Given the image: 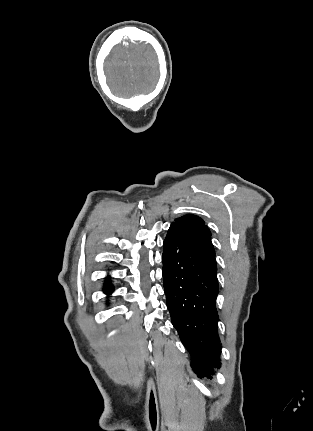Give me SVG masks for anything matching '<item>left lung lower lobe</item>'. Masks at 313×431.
Masks as SVG:
<instances>
[{
    "instance_id": "0a47b994",
    "label": "left lung lower lobe",
    "mask_w": 313,
    "mask_h": 431,
    "mask_svg": "<svg viewBox=\"0 0 313 431\" xmlns=\"http://www.w3.org/2000/svg\"><path fill=\"white\" fill-rule=\"evenodd\" d=\"M163 278L172 324L191 355V366L200 377L220 359L221 344L216 299L215 255L170 227L164 240Z\"/></svg>"
}]
</instances>
